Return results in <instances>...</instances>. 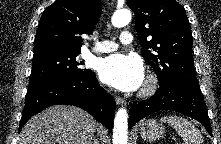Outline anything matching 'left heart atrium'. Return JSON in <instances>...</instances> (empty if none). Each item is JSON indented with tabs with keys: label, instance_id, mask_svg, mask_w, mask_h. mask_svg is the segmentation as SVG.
I'll use <instances>...</instances> for the list:
<instances>
[{
	"label": "left heart atrium",
	"instance_id": "39dd6f15",
	"mask_svg": "<svg viewBox=\"0 0 221 144\" xmlns=\"http://www.w3.org/2000/svg\"><path fill=\"white\" fill-rule=\"evenodd\" d=\"M99 76L102 82L116 89L134 91L143 83L144 69L138 57L117 53L101 60Z\"/></svg>",
	"mask_w": 221,
	"mask_h": 144
}]
</instances>
